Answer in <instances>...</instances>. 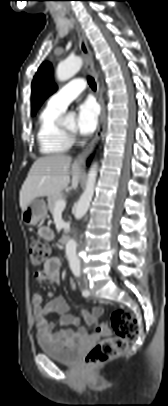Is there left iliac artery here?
I'll return each instance as SVG.
<instances>
[{"label": "left iliac artery", "mask_w": 168, "mask_h": 406, "mask_svg": "<svg viewBox=\"0 0 168 406\" xmlns=\"http://www.w3.org/2000/svg\"><path fill=\"white\" fill-rule=\"evenodd\" d=\"M73 273H74V275H75L76 277H80V276H81V270H80V268H75V269H73ZM82 295L85 296V297L89 296V291H88L87 289H84V290L82 291Z\"/></svg>", "instance_id": "1"}]
</instances>
